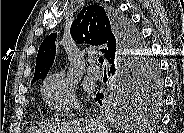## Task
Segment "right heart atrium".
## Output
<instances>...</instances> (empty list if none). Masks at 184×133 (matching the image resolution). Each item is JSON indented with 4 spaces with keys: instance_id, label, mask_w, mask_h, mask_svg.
<instances>
[{
    "instance_id": "right-heart-atrium-1",
    "label": "right heart atrium",
    "mask_w": 184,
    "mask_h": 133,
    "mask_svg": "<svg viewBox=\"0 0 184 133\" xmlns=\"http://www.w3.org/2000/svg\"><path fill=\"white\" fill-rule=\"evenodd\" d=\"M42 95L46 104L58 113L71 110L77 105L74 83L63 72H56L45 79Z\"/></svg>"
}]
</instances>
